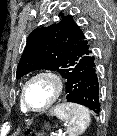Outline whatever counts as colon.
<instances>
[{
    "mask_svg": "<svg viewBox=\"0 0 117 136\" xmlns=\"http://www.w3.org/2000/svg\"><path fill=\"white\" fill-rule=\"evenodd\" d=\"M26 135H27V136H32V135H34V134H33V132L28 131V132L26 133Z\"/></svg>",
    "mask_w": 117,
    "mask_h": 136,
    "instance_id": "obj_1",
    "label": "colon"
}]
</instances>
